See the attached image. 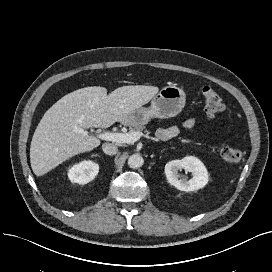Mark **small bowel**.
<instances>
[{
	"label": "small bowel",
	"instance_id": "obj_1",
	"mask_svg": "<svg viewBox=\"0 0 272 272\" xmlns=\"http://www.w3.org/2000/svg\"><path fill=\"white\" fill-rule=\"evenodd\" d=\"M195 126H196V119H193V118L188 119L183 124L184 129H186L187 131H193L195 129ZM178 134H179V128L175 125L169 126L166 128H160L156 132L157 138L163 141L172 139L176 137Z\"/></svg>",
	"mask_w": 272,
	"mask_h": 272
}]
</instances>
